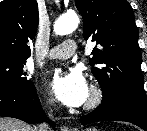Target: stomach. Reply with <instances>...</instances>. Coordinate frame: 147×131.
I'll return each instance as SVG.
<instances>
[{
  "label": "stomach",
  "mask_w": 147,
  "mask_h": 131,
  "mask_svg": "<svg viewBox=\"0 0 147 131\" xmlns=\"http://www.w3.org/2000/svg\"><path fill=\"white\" fill-rule=\"evenodd\" d=\"M84 131H97V130L94 129V128H87V129H85Z\"/></svg>",
  "instance_id": "1"
}]
</instances>
